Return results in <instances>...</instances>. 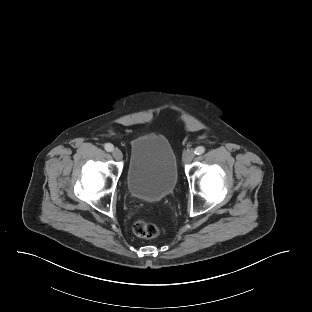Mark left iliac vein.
I'll list each match as a JSON object with an SVG mask.
<instances>
[{
    "label": "left iliac vein",
    "mask_w": 312,
    "mask_h": 312,
    "mask_svg": "<svg viewBox=\"0 0 312 312\" xmlns=\"http://www.w3.org/2000/svg\"><path fill=\"white\" fill-rule=\"evenodd\" d=\"M195 157V153L193 150H187L184 154H183V162L185 164L190 163L193 158Z\"/></svg>",
    "instance_id": "1"
}]
</instances>
